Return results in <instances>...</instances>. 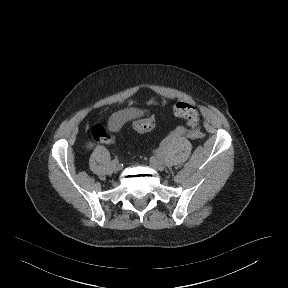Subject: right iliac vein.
Instances as JSON below:
<instances>
[{"instance_id":"63e3f726","label":"right iliac vein","mask_w":288,"mask_h":288,"mask_svg":"<svg viewBox=\"0 0 288 288\" xmlns=\"http://www.w3.org/2000/svg\"><path fill=\"white\" fill-rule=\"evenodd\" d=\"M112 166H113L115 171H120L122 169V165L118 161L113 162Z\"/></svg>"}]
</instances>
